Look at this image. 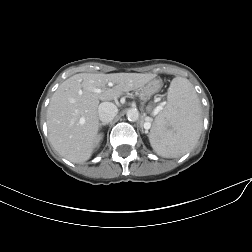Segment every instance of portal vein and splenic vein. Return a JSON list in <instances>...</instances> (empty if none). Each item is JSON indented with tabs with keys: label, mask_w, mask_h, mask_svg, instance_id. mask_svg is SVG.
Returning <instances> with one entry per match:
<instances>
[{
	"label": "portal vein and splenic vein",
	"mask_w": 252,
	"mask_h": 252,
	"mask_svg": "<svg viewBox=\"0 0 252 252\" xmlns=\"http://www.w3.org/2000/svg\"><path fill=\"white\" fill-rule=\"evenodd\" d=\"M95 92L97 93H101L102 90L101 89H95ZM161 110V107H157L154 111H153V114L156 115L159 111ZM150 118L149 117H146V122L144 123V126L145 128L149 129L151 124H150Z\"/></svg>",
	"instance_id": "18ae733b"
}]
</instances>
